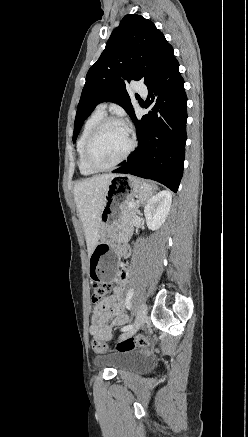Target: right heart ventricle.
<instances>
[{"instance_id": "right-heart-ventricle-1", "label": "right heart ventricle", "mask_w": 248, "mask_h": 437, "mask_svg": "<svg viewBox=\"0 0 248 437\" xmlns=\"http://www.w3.org/2000/svg\"><path fill=\"white\" fill-rule=\"evenodd\" d=\"M105 116L104 112L95 110L93 111L88 118L85 120L80 136L77 141V154H78V168L82 175L84 176H90L93 175L96 171L90 169L84 158V147L86 140L91 133L94 126Z\"/></svg>"}]
</instances>
